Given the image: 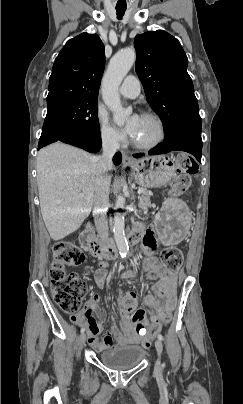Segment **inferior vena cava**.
<instances>
[{
  "mask_svg": "<svg viewBox=\"0 0 243 404\" xmlns=\"http://www.w3.org/2000/svg\"><path fill=\"white\" fill-rule=\"evenodd\" d=\"M102 148L103 154L98 158L96 170L93 216L101 244L103 248L107 250L109 238L107 210L109 206V188L111 182V176H109L108 172L112 170V158L116 150H119L117 138L112 136V134H109V136L104 134V136H102Z\"/></svg>",
  "mask_w": 243,
  "mask_h": 404,
  "instance_id": "obj_1",
  "label": "inferior vena cava"
}]
</instances>
